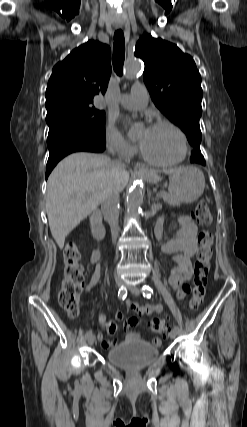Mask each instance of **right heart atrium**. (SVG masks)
<instances>
[{"mask_svg": "<svg viewBox=\"0 0 247 427\" xmlns=\"http://www.w3.org/2000/svg\"><path fill=\"white\" fill-rule=\"evenodd\" d=\"M104 137L107 148L123 158L131 157L136 150L112 122L107 123Z\"/></svg>", "mask_w": 247, "mask_h": 427, "instance_id": "obj_1", "label": "right heart atrium"}]
</instances>
